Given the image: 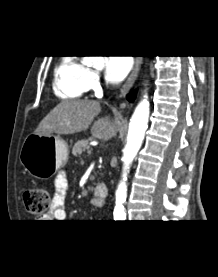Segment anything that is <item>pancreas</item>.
Listing matches in <instances>:
<instances>
[{
	"instance_id": "cf45deb5",
	"label": "pancreas",
	"mask_w": 218,
	"mask_h": 277,
	"mask_svg": "<svg viewBox=\"0 0 218 277\" xmlns=\"http://www.w3.org/2000/svg\"><path fill=\"white\" fill-rule=\"evenodd\" d=\"M89 140H80L75 143L72 149V154L74 156H80L83 152L87 151L90 153Z\"/></svg>"
}]
</instances>
